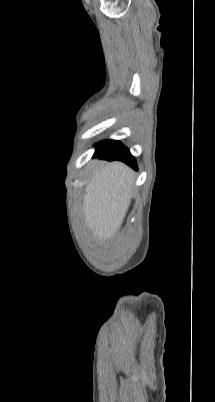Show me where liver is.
Returning a JSON list of instances; mask_svg holds the SVG:
<instances>
[{
  "instance_id": "liver-1",
  "label": "liver",
  "mask_w": 215,
  "mask_h": 402,
  "mask_svg": "<svg viewBox=\"0 0 215 402\" xmlns=\"http://www.w3.org/2000/svg\"><path fill=\"white\" fill-rule=\"evenodd\" d=\"M93 163L83 212L87 228L102 242L113 238L124 221L131 202L134 172L118 161Z\"/></svg>"
}]
</instances>
